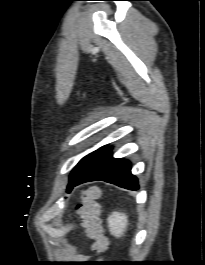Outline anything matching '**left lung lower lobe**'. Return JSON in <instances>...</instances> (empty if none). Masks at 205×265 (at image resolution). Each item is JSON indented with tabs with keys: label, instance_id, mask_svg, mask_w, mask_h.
Instances as JSON below:
<instances>
[{
	"label": "left lung lower lobe",
	"instance_id": "0a47b994",
	"mask_svg": "<svg viewBox=\"0 0 205 265\" xmlns=\"http://www.w3.org/2000/svg\"><path fill=\"white\" fill-rule=\"evenodd\" d=\"M106 181L129 190L139 188L137 178L131 174V164L123 159H115L111 147H107L84 171L72 182L71 189L90 181Z\"/></svg>",
	"mask_w": 205,
	"mask_h": 265
}]
</instances>
